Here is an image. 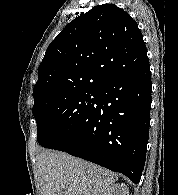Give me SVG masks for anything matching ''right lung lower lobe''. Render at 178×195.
<instances>
[{
    "mask_svg": "<svg viewBox=\"0 0 178 195\" xmlns=\"http://www.w3.org/2000/svg\"><path fill=\"white\" fill-rule=\"evenodd\" d=\"M151 91L148 61L98 89L94 105L53 149L139 183L149 138Z\"/></svg>",
    "mask_w": 178,
    "mask_h": 195,
    "instance_id": "1",
    "label": "right lung lower lobe"
}]
</instances>
